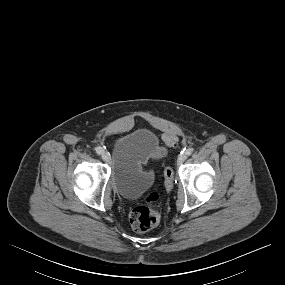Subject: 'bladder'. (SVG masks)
<instances>
[{
	"label": "bladder",
	"instance_id": "31cf9c89",
	"mask_svg": "<svg viewBox=\"0 0 285 285\" xmlns=\"http://www.w3.org/2000/svg\"><path fill=\"white\" fill-rule=\"evenodd\" d=\"M164 152L160 136L148 128H136L115 138L111 149V181L117 194L134 199L153 183L144 164Z\"/></svg>",
	"mask_w": 285,
	"mask_h": 285
}]
</instances>
